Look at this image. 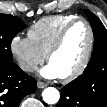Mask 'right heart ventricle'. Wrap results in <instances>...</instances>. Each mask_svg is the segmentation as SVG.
Wrapping results in <instances>:
<instances>
[{
	"instance_id": "obj_1",
	"label": "right heart ventricle",
	"mask_w": 107,
	"mask_h": 107,
	"mask_svg": "<svg viewBox=\"0 0 107 107\" xmlns=\"http://www.w3.org/2000/svg\"><path fill=\"white\" fill-rule=\"evenodd\" d=\"M76 18L71 14L41 18L29 28L28 37L43 54L47 55L63 27Z\"/></svg>"
}]
</instances>
